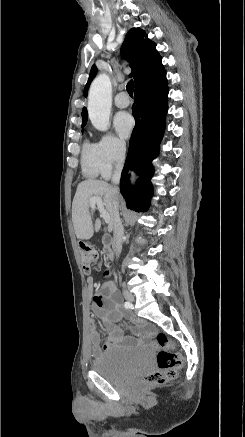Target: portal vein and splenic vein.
Here are the masks:
<instances>
[{"label": "portal vein and splenic vein", "instance_id": "obj_1", "mask_svg": "<svg viewBox=\"0 0 245 437\" xmlns=\"http://www.w3.org/2000/svg\"><path fill=\"white\" fill-rule=\"evenodd\" d=\"M89 205L91 208H95L97 206L103 220L107 223L110 221L109 214L104 209V205L100 197H92L89 201Z\"/></svg>", "mask_w": 245, "mask_h": 437}]
</instances>
